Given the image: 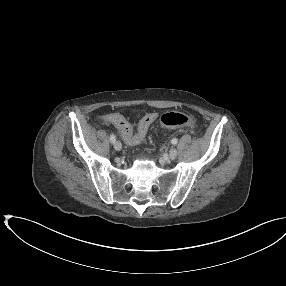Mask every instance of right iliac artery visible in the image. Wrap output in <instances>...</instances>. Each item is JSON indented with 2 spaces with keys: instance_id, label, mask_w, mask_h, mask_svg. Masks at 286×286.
I'll list each match as a JSON object with an SVG mask.
<instances>
[{
  "instance_id": "82829eb1",
  "label": "right iliac artery",
  "mask_w": 286,
  "mask_h": 286,
  "mask_svg": "<svg viewBox=\"0 0 286 286\" xmlns=\"http://www.w3.org/2000/svg\"><path fill=\"white\" fill-rule=\"evenodd\" d=\"M110 141H111V143H114L116 141V137L114 134L110 135Z\"/></svg>"
}]
</instances>
